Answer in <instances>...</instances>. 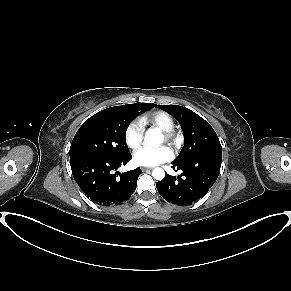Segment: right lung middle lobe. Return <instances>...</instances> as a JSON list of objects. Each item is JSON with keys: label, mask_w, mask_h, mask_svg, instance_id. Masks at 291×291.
I'll return each instance as SVG.
<instances>
[{"label": "right lung middle lobe", "mask_w": 291, "mask_h": 291, "mask_svg": "<svg viewBox=\"0 0 291 291\" xmlns=\"http://www.w3.org/2000/svg\"><path fill=\"white\" fill-rule=\"evenodd\" d=\"M153 107V103L127 104L104 109L91 116L73 138L70 160L94 156L116 158L129 154L125 139L129 124Z\"/></svg>", "instance_id": "obj_1"}]
</instances>
